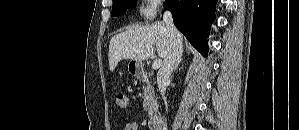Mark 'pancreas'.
<instances>
[{
  "mask_svg": "<svg viewBox=\"0 0 299 130\" xmlns=\"http://www.w3.org/2000/svg\"><path fill=\"white\" fill-rule=\"evenodd\" d=\"M145 87L143 91V108L151 117L157 111V101L155 99V92L152 84L147 78H143Z\"/></svg>",
  "mask_w": 299,
  "mask_h": 130,
  "instance_id": "obj_1",
  "label": "pancreas"
}]
</instances>
